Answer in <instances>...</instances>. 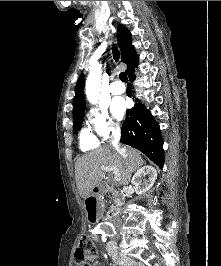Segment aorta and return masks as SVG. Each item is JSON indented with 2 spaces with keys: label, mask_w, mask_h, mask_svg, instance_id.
Listing matches in <instances>:
<instances>
[{
  "label": "aorta",
  "mask_w": 221,
  "mask_h": 266,
  "mask_svg": "<svg viewBox=\"0 0 221 266\" xmlns=\"http://www.w3.org/2000/svg\"><path fill=\"white\" fill-rule=\"evenodd\" d=\"M101 82V66L93 65L90 68L89 75L86 80L85 93L88 101L92 104L97 103L100 95Z\"/></svg>",
  "instance_id": "aorta-1"
}]
</instances>
